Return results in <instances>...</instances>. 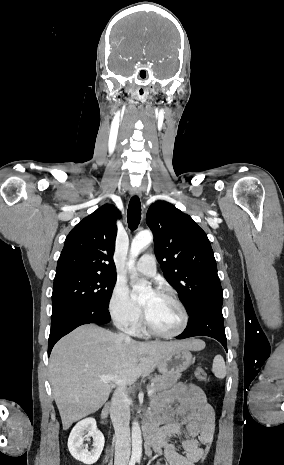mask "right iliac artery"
Here are the masks:
<instances>
[{"label": "right iliac artery", "mask_w": 284, "mask_h": 465, "mask_svg": "<svg viewBox=\"0 0 284 465\" xmlns=\"http://www.w3.org/2000/svg\"><path fill=\"white\" fill-rule=\"evenodd\" d=\"M135 460L134 459H131L130 462H129V465H135Z\"/></svg>", "instance_id": "obj_1"}]
</instances>
